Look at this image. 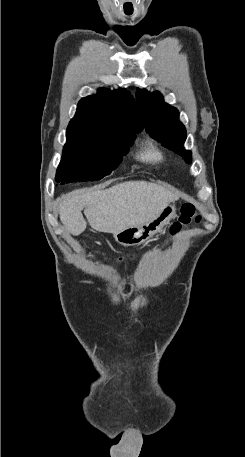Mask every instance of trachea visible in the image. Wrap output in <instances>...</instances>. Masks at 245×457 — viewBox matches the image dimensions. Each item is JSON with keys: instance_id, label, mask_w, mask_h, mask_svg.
Instances as JSON below:
<instances>
[{"instance_id": "trachea-1", "label": "trachea", "mask_w": 245, "mask_h": 457, "mask_svg": "<svg viewBox=\"0 0 245 457\" xmlns=\"http://www.w3.org/2000/svg\"><path fill=\"white\" fill-rule=\"evenodd\" d=\"M126 15H132L131 13H126Z\"/></svg>"}]
</instances>
